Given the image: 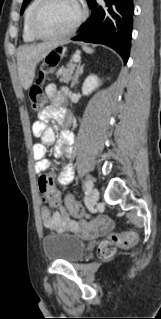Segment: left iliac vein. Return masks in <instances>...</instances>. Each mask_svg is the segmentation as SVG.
<instances>
[{
	"label": "left iliac vein",
	"mask_w": 161,
	"mask_h": 319,
	"mask_svg": "<svg viewBox=\"0 0 161 319\" xmlns=\"http://www.w3.org/2000/svg\"><path fill=\"white\" fill-rule=\"evenodd\" d=\"M98 199H99V191L97 188H93L90 192V197H89L91 205H95Z\"/></svg>",
	"instance_id": "left-iliac-vein-1"
}]
</instances>
